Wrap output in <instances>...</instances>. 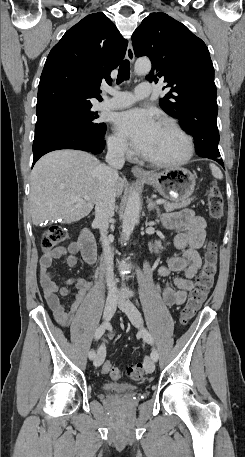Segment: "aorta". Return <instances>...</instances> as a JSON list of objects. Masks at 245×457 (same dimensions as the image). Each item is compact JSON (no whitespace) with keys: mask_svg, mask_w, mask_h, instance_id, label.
I'll return each mask as SVG.
<instances>
[{"mask_svg":"<svg viewBox=\"0 0 245 457\" xmlns=\"http://www.w3.org/2000/svg\"><path fill=\"white\" fill-rule=\"evenodd\" d=\"M134 70L138 75L147 74L151 70L150 60L147 58L138 59L135 62ZM140 207V194L137 190L134 189L127 199L126 208L123 215L122 232L124 236L128 237L133 232L139 218Z\"/></svg>","mask_w":245,"mask_h":457,"instance_id":"aorta-1","label":"aorta"}]
</instances>
